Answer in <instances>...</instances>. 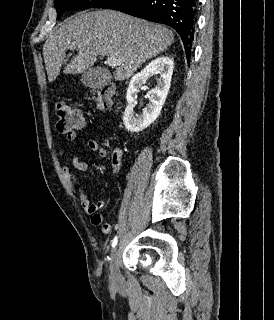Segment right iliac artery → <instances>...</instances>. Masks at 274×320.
Returning a JSON list of instances; mask_svg holds the SVG:
<instances>
[{"label": "right iliac artery", "mask_w": 274, "mask_h": 320, "mask_svg": "<svg viewBox=\"0 0 274 320\" xmlns=\"http://www.w3.org/2000/svg\"><path fill=\"white\" fill-rule=\"evenodd\" d=\"M118 238L115 236V238L112 240V247L114 248L117 244Z\"/></svg>", "instance_id": "82829eb1"}]
</instances>
